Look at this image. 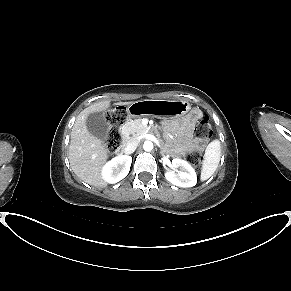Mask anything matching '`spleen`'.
<instances>
[{
    "label": "spleen",
    "mask_w": 291,
    "mask_h": 291,
    "mask_svg": "<svg viewBox=\"0 0 291 291\" xmlns=\"http://www.w3.org/2000/svg\"><path fill=\"white\" fill-rule=\"evenodd\" d=\"M221 156L220 141L213 140L209 143L205 150L202 170H201V180L205 181L212 176L218 167Z\"/></svg>",
    "instance_id": "spleen-1"
}]
</instances>
